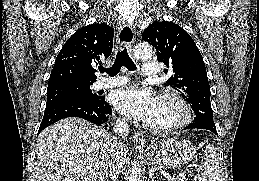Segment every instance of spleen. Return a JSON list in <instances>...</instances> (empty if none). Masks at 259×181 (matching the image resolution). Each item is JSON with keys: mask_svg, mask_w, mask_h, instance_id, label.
Listing matches in <instances>:
<instances>
[{"mask_svg": "<svg viewBox=\"0 0 259 181\" xmlns=\"http://www.w3.org/2000/svg\"><path fill=\"white\" fill-rule=\"evenodd\" d=\"M203 170H199L194 176L197 181H219V162L216 149L208 144L205 150V157L202 159Z\"/></svg>", "mask_w": 259, "mask_h": 181, "instance_id": "3e777b00", "label": "spleen"}]
</instances>
